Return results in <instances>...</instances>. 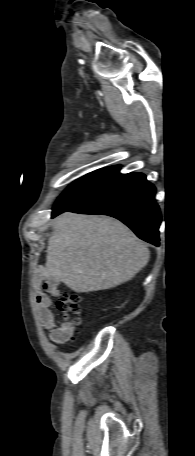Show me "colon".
Masks as SVG:
<instances>
[{
	"label": "colon",
	"mask_w": 195,
	"mask_h": 456,
	"mask_svg": "<svg viewBox=\"0 0 195 456\" xmlns=\"http://www.w3.org/2000/svg\"><path fill=\"white\" fill-rule=\"evenodd\" d=\"M57 308L62 313L64 319H68L70 315L77 316L80 312V297L76 293H63L57 302ZM75 323L79 320L76 318Z\"/></svg>",
	"instance_id": "obj_1"
}]
</instances>
